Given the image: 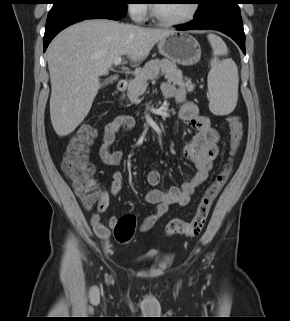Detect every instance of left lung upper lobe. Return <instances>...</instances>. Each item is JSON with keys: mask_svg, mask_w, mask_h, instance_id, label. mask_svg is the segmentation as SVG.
Instances as JSON below:
<instances>
[{"mask_svg": "<svg viewBox=\"0 0 290 321\" xmlns=\"http://www.w3.org/2000/svg\"><path fill=\"white\" fill-rule=\"evenodd\" d=\"M199 7L195 13V16L201 15L208 11L210 8L217 5L221 0H197Z\"/></svg>", "mask_w": 290, "mask_h": 321, "instance_id": "1", "label": "left lung upper lobe"}]
</instances>
